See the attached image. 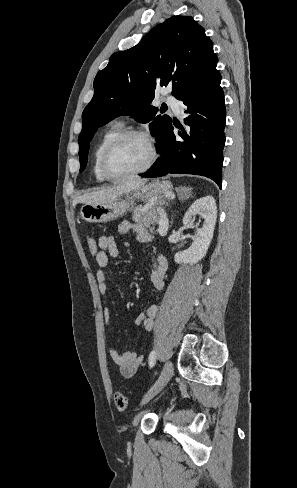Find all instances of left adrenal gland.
I'll use <instances>...</instances> for the list:
<instances>
[{
    "instance_id": "left-adrenal-gland-1",
    "label": "left adrenal gland",
    "mask_w": 297,
    "mask_h": 488,
    "mask_svg": "<svg viewBox=\"0 0 297 488\" xmlns=\"http://www.w3.org/2000/svg\"><path fill=\"white\" fill-rule=\"evenodd\" d=\"M190 191H191V189H189V188L188 189H183V188L179 189V188H177L176 189V192L178 194L179 201H182L183 200L184 193L190 192Z\"/></svg>"
}]
</instances>
